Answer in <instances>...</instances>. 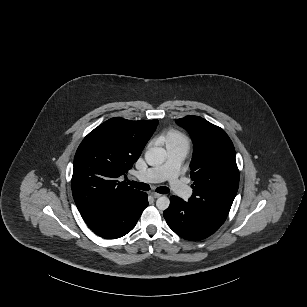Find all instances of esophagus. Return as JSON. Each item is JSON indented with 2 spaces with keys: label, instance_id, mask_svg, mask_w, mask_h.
I'll return each instance as SVG.
<instances>
[{
  "label": "esophagus",
  "instance_id": "esophagus-1",
  "mask_svg": "<svg viewBox=\"0 0 307 307\" xmlns=\"http://www.w3.org/2000/svg\"><path fill=\"white\" fill-rule=\"evenodd\" d=\"M153 198H159L161 196V194L156 193V192H151L150 194Z\"/></svg>",
  "mask_w": 307,
  "mask_h": 307
}]
</instances>
